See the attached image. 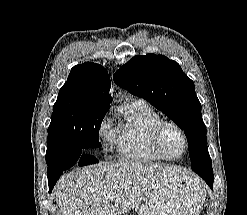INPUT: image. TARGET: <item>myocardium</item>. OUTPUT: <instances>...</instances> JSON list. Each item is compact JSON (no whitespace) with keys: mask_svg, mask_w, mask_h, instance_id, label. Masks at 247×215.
Listing matches in <instances>:
<instances>
[{"mask_svg":"<svg viewBox=\"0 0 247 215\" xmlns=\"http://www.w3.org/2000/svg\"><path fill=\"white\" fill-rule=\"evenodd\" d=\"M167 128H174L175 130L179 132V134L182 137L183 151L180 155H177V156L169 155L164 148L163 135ZM151 139H152L154 150L160 157H162L165 160H178L182 158L188 150L189 144H188L187 134L185 130L178 123L174 121L161 120L158 124H156L153 127L152 132H151Z\"/></svg>","mask_w":247,"mask_h":215,"instance_id":"obj_1","label":"myocardium"}]
</instances>
